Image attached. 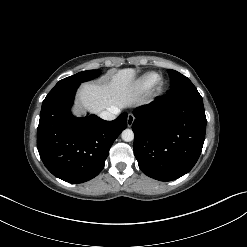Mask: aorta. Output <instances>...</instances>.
<instances>
[{
    "label": "aorta",
    "instance_id": "obj_1",
    "mask_svg": "<svg viewBox=\"0 0 247 247\" xmlns=\"http://www.w3.org/2000/svg\"><path fill=\"white\" fill-rule=\"evenodd\" d=\"M121 137L125 142H130L134 139V132L131 129H125L121 133Z\"/></svg>",
    "mask_w": 247,
    "mask_h": 247
}]
</instances>
